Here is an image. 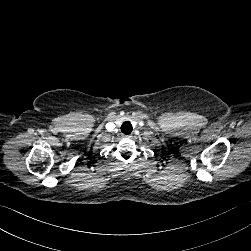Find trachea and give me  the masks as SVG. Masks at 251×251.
<instances>
[{
    "mask_svg": "<svg viewBox=\"0 0 251 251\" xmlns=\"http://www.w3.org/2000/svg\"><path fill=\"white\" fill-rule=\"evenodd\" d=\"M121 131L125 134H130L132 131V125L129 122H124L121 126Z\"/></svg>",
    "mask_w": 251,
    "mask_h": 251,
    "instance_id": "3493384b",
    "label": "trachea"
}]
</instances>
